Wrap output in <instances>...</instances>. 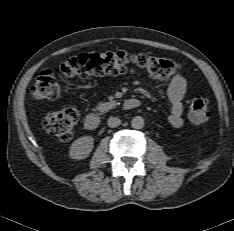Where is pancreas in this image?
I'll return each mask as SVG.
<instances>
[{
  "instance_id": "1",
  "label": "pancreas",
  "mask_w": 234,
  "mask_h": 231,
  "mask_svg": "<svg viewBox=\"0 0 234 231\" xmlns=\"http://www.w3.org/2000/svg\"><path fill=\"white\" fill-rule=\"evenodd\" d=\"M116 101H110V102H101L98 104V106L96 107L97 110H99L100 112H104V111H108L110 110L112 107H114L116 105Z\"/></svg>"
}]
</instances>
